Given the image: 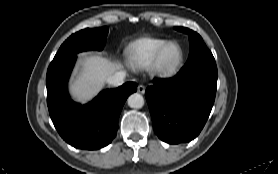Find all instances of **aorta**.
I'll return each mask as SVG.
<instances>
[{"mask_svg":"<svg viewBox=\"0 0 278 174\" xmlns=\"http://www.w3.org/2000/svg\"><path fill=\"white\" fill-rule=\"evenodd\" d=\"M128 106L134 109H140L144 106V98L141 94H131L127 99Z\"/></svg>","mask_w":278,"mask_h":174,"instance_id":"aorta-1","label":"aorta"}]
</instances>
